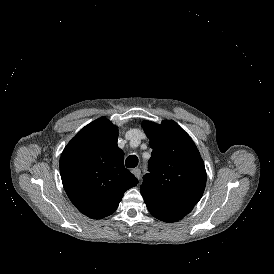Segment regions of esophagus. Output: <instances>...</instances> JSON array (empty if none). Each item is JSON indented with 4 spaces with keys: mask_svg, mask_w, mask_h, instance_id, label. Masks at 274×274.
Listing matches in <instances>:
<instances>
[{
    "mask_svg": "<svg viewBox=\"0 0 274 274\" xmlns=\"http://www.w3.org/2000/svg\"><path fill=\"white\" fill-rule=\"evenodd\" d=\"M131 172L135 175V177H137L138 179L140 178L141 170L139 168L132 169Z\"/></svg>",
    "mask_w": 274,
    "mask_h": 274,
    "instance_id": "esophagus-1",
    "label": "esophagus"
}]
</instances>
